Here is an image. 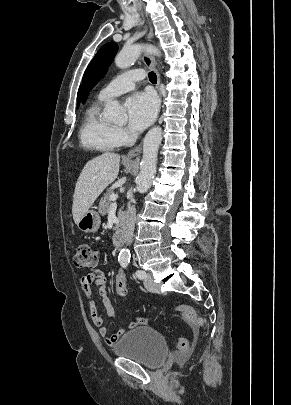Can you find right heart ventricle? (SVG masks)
<instances>
[{
  "mask_svg": "<svg viewBox=\"0 0 291 405\" xmlns=\"http://www.w3.org/2000/svg\"><path fill=\"white\" fill-rule=\"evenodd\" d=\"M98 99L85 112L81 127L80 140L85 148L109 152L119 146L115 135V127L101 116V103Z\"/></svg>",
  "mask_w": 291,
  "mask_h": 405,
  "instance_id": "e07e8e85",
  "label": "right heart ventricle"
}]
</instances>
